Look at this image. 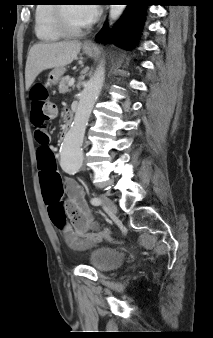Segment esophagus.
Instances as JSON below:
<instances>
[{"label":"esophagus","instance_id":"34e87169","mask_svg":"<svg viewBox=\"0 0 213 338\" xmlns=\"http://www.w3.org/2000/svg\"><path fill=\"white\" fill-rule=\"evenodd\" d=\"M85 45H86V46H92L93 44H92L91 41H87V42L85 43Z\"/></svg>","mask_w":213,"mask_h":338}]
</instances>
